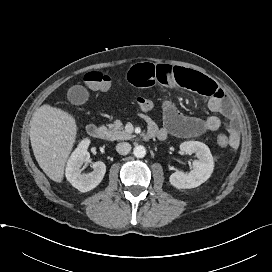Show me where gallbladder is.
<instances>
[{
    "label": "gallbladder",
    "mask_w": 272,
    "mask_h": 272,
    "mask_svg": "<svg viewBox=\"0 0 272 272\" xmlns=\"http://www.w3.org/2000/svg\"><path fill=\"white\" fill-rule=\"evenodd\" d=\"M88 91L83 86H72L67 93L68 100L75 105L83 104L88 100Z\"/></svg>",
    "instance_id": "1"
}]
</instances>
